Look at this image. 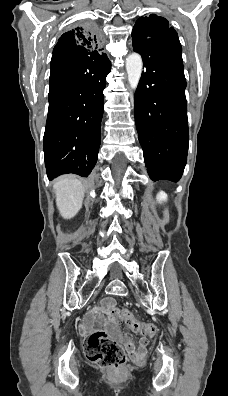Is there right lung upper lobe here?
<instances>
[{"label":"right lung upper lobe","mask_w":228,"mask_h":396,"mask_svg":"<svg viewBox=\"0 0 228 396\" xmlns=\"http://www.w3.org/2000/svg\"><path fill=\"white\" fill-rule=\"evenodd\" d=\"M73 50L102 53L98 36L87 27H76L64 33L55 45L53 55H61Z\"/></svg>","instance_id":"obj_1"}]
</instances>
